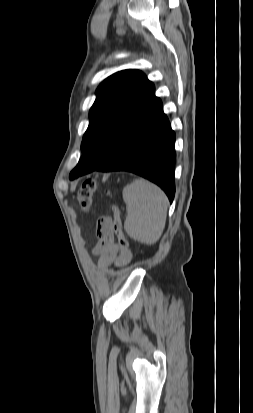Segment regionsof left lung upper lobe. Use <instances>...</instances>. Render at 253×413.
I'll list each match as a JSON object with an SVG mask.
<instances>
[{"label":"left lung upper lobe","instance_id":"5c2ea615","mask_svg":"<svg viewBox=\"0 0 253 413\" xmlns=\"http://www.w3.org/2000/svg\"><path fill=\"white\" fill-rule=\"evenodd\" d=\"M155 88L139 70H123L106 78L96 90L89 126L83 136V156L70 179L97 170L114 155L123 121L143 112L155 98Z\"/></svg>","mask_w":253,"mask_h":413}]
</instances>
